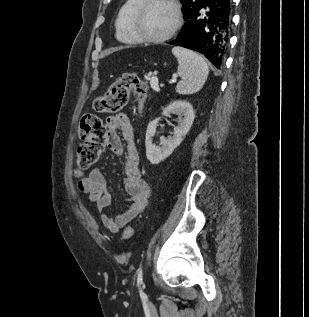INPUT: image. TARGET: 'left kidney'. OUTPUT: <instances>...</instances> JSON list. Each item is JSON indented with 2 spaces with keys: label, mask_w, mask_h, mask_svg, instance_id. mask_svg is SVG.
Wrapping results in <instances>:
<instances>
[{
  "label": "left kidney",
  "mask_w": 309,
  "mask_h": 317,
  "mask_svg": "<svg viewBox=\"0 0 309 317\" xmlns=\"http://www.w3.org/2000/svg\"><path fill=\"white\" fill-rule=\"evenodd\" d=\"M171 113L183 116V119L174 128L173 136L167 139L164 137L161 138L160 147H156L153 144L152 137L156 133V128L161 118H156L147 126L145 138L146 157L152 164H159L172 154L174 149L180 145L185 135L189 132L195 118L193 107L187 101H174L163 110L162 115H169Z\"/></svg>",
  "instance_id": "left-kidney-1"
}]
</instances>
